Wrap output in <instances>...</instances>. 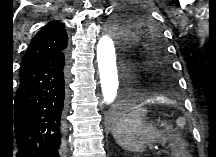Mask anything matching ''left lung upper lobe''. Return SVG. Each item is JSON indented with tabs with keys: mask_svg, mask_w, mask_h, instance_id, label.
I'll list each match as a JSON object with an SVG mask.
<instances>
[{
	"mask_svg": "<svg viewBox=\"0 0 216 157\" xmlns=\"http://www.w3.org/2000/svg\"><path fill=\"white\" fill-rule=\"evenodd\" d=\"M107 29L117 38L128 88L155 96H179L160 23L152 19L149 10L122 6L107 23Z\"/></svg>",
	"mask_w": 216,
	"mask_h": 157,
	"instance_id": "5c2ea615",
	"label": "left lung upper lobe"
}]
</instances>
